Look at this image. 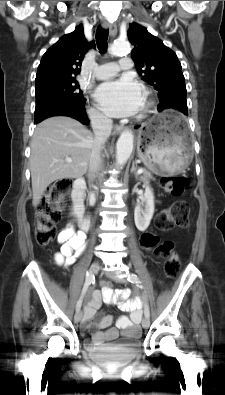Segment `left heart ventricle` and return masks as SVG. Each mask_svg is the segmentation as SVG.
I'll use <instances>...</instances> for the list:
<instances>
[{"label":"left heart ventricle","mask_w":225,"mask_h":395,"mask_svg":"<svg viewBox=\"0 0 225 395\" xmlns=\"http://www.w3.org/2000/svg\"><path fill=\"white\" fill-rule=\"evenodd\" d=\"M142 105H143V100H142V104H141V106H140V109H141Z\"/></svg>","instance_id":"left-heart-ventricle-1"}]
</instances>
